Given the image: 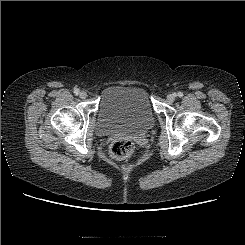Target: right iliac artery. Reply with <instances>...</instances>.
<instances>
[{"label":"right iliac artery","instance_id":"82829eb1","mask_svg":"<svg viewBox=\"0 0 245 245\" xmlns=\"http://www.w3.org/2000/svg\"><path fill=\"white\" fill-rule=\"evenodd\" d=\"M73 92H74L75 95H78L80 91H79L78 88H75Z\"/></svg>","mask_w":245,"mask_h":245}]
</instances>
